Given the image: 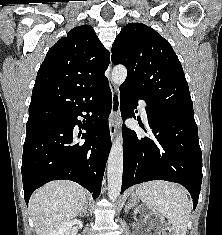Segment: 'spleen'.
Masks as SVG:
<instances>
[{
    "instance_id": "3e777b00",
    "label": "spleen",
    "mask_w": 222,
    "mask_h": 235,
    "mask_svg": "<svg viewBox=\"0 0 222 235\" xmlns=\"http://www.w3.org/2000/svg\"><path fill=\"white\" fill-rule=\"evenodd\" d=\"M136 194L142 202L168 219L176 235H186L191 203L178 184L167 181L146 182L136 188Z\"/></svg>"
}]
</instances>
